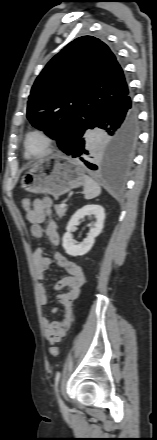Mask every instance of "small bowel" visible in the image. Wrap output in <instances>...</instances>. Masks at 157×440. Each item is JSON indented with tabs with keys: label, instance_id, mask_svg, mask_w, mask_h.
<instances>
[{
	"label": "small bowel",
	"instance_id": "c3829d8e",
	"mask_svg": "<svg viewBox=\"0 0 157 440\" xmlns=\"http://www.w3.org/2000/svg\"><path fill=\"white\" fill-rule=\"evenodd\" d=\"M53 202L50 198L35 199L31 210L26 213V218L31 223L30 232L33 237L41 238L46 235L51 245L52 259L61 267L67 275L56 285L57 290H63L57 296L61 304V317L56 321H51L47 315L42 318L45 338L52 344L60 342L67 334L73 318V302L80 294L81 287L85 282V275L81 266L68 258L58 250L60 235L57 225L50 221L46 228H42V223L53 216ZM52 259L45 254L44 248H38L33 253V262L36 276L39 280L37 288L38 300L42 306H47L49 293L45 286V274L52 264ZM57 311V309H54Z\"/></svg>",
	"mask_w": 157,
	"mask_h": 440
}]
</instances>
